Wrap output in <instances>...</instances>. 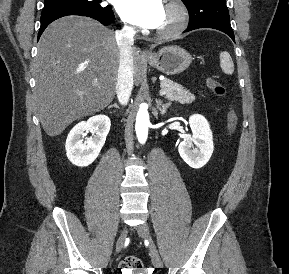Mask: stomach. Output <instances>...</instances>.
Segmentation results:
<instances>
[{
  "instance_id": "stomach-1",
  "label": "stomach",
  "mask_w": 289,
  "mask_h": 274,
  "mask_svg": "<svg viewBox=\"0 0 289 274\" xmlns=\"http://www.w3.org/2000/svg\"><path fill=\"white\" fill-rule=\"evenodd\" d=\"M146 59L151 66L166 75L182 73L192 62L191 55L179 46L163 47Z\"/></svg>"
}]
</instances>
